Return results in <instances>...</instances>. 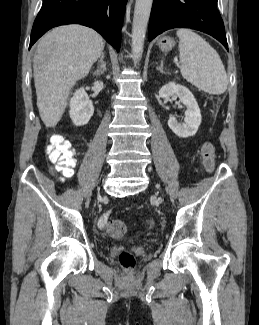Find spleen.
<instances>
[{
    "label": "spleen",
    "mask_w": 259,
    "mask_h": 325,
    "mask_svg": "<svg viewBox=\"0 0 259 325\" xmlns=\"http://www.w3.org/2000/svg\"><path fill=\"white\" fill-rule=\"evenodd\" d=\"M176 34L183 78L209 94L224 93L228 79L216 50L190 29H178Z\"/></svg>",
    "instance_id": "1"
}]
</instances>
